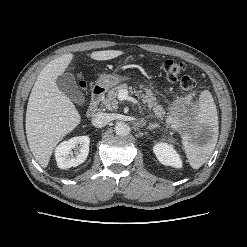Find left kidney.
Wrapping results in <instances>:
<instances>
[{
  "label": "left kidney",
  "mask_w": 247,
  "mask_h": 247,
  "mask_svg": "<svg viewBox=\"0 0 247 247\" xmlns=\"http://www.w3.org/2000/svg\"><path fill=\"white\" fill-rule=\"evenodd\" d=\"M153 152L157 159L163 165L172 166L175 168L182 167V161L174 150L173 145L168 143H158L153 147Z\"/></svg>",
  "instance_id": "1"
}]
</instances>
